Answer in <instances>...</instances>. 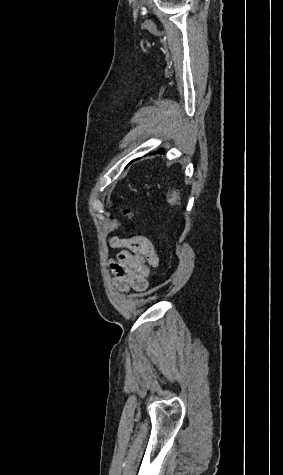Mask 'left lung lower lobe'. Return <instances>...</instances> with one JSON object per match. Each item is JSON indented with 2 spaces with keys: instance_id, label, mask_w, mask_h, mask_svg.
<instances>
[{
  "instance_id": "obj_1",
  "label": "left lung lower lobe",
  "mask_w": 283,
  "mask_h": 475,
  "mask_svg": "<svg viewBox=\"0 0 283 475\" xmlns=\"http://www.w3.org/2000/svg\"><path fill=\"white\" fill-rule=\"evenodd\" d=\"M161 152H164V149H163V148H161V149H159L158 151L154 152V154H156V153H159V154H160ZM128 165H130V163H129Z\"/></svg>"
}]
</instances>
